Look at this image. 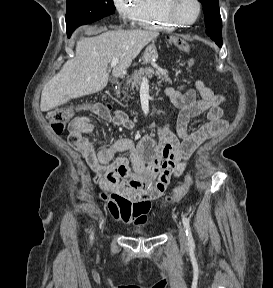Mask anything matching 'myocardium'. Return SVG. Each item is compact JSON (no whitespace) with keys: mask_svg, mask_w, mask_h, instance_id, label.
Returning a JSON list of instances; mask_svg holds the SVG:
<instances>
[{"mask_svg":"<svg viewBox=\"0 0 273 288\" xmlns=\"http://www.w3.org/2000/svg\"><path fill=\"white\" fill-rule=\"evenodd\" d=\"M163 2H164V11H165L166 17L177 26H184V27L191 26L197 22V20L199 19L201 15L202 7H201V2L199 0H194L196 7H197V14H196V17L192 21H189V22L181 20L176 15L175 5L177 3V0H163Z\"/></svg>","mask_w":273,"mask_h":288,"instance_id":"1","label":"myocardium"}]
</instances>
